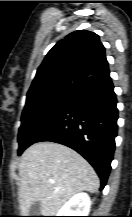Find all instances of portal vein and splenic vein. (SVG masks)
Wrapping results in <instances>:
<instances>
[{
  "mask_svg": "<svg viewBox=\"0 0 132 217\" xmlns=\"http://www.w3.org/2000/svg\"><path fill=\"white\" fill-rule=\"evenodd\" d=\"M50 182H51V183H54V181H53V180H51Z\"/></svg>",
  "mask_w": 132,
  "mask_h": 217,
  "instance_id": "1",
  "label": "portal vein and splenic vein"
}]
</instances>
